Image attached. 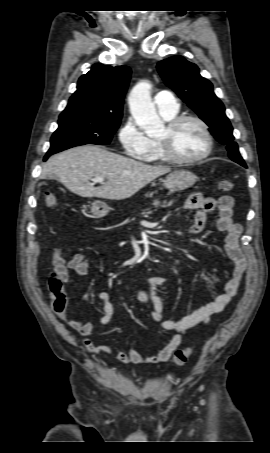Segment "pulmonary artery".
Instances as JSON below:
<instances>
[{
    "label": "pulmonary artery",
    "instance_id": "pulmonary-artery-1",
    "mask_svg": "<svg viewBox=\"0 0 270 453\" xmlns=\"http://www.w3.org/2000/svg\"><path fill=\"white\" fill-rule=\"evenodd\" d=\"M154 102L162 115H174L179 110L175 95L170 91H160L154 96Z\"/></svg>",
    "mask_w": 270,
    "mask_h": 453
}]
</instances>
